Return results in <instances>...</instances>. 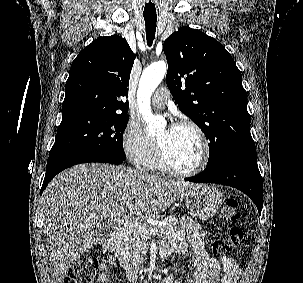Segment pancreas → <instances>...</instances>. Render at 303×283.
<instances>
[{
  "instance_id": "1",
  "label": "pancreas",
  "mask_w": 303,
  "mask_h": 283,
  "mask_svg": "<svg viewBox=\"0 0 303 283\" xmlns=\"http://www.w3.org/2000/svg\"><path fill=\"white\" fill-rule=\"evenodd\" d=\"M163 222L166 225L153 226L138 223V225L131 224L124 228L118 243L115 245V254L125 269L138 267L143 262L144 245L151 235L149 230L157 229L156 235L159 238L166 239L178 229V220L173 215L165 217Z\"/></svg>"
}]
</instances>
